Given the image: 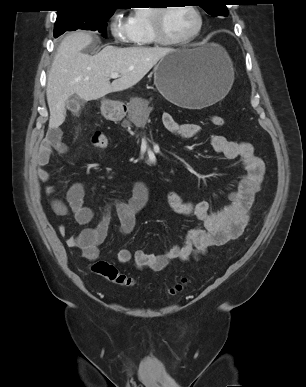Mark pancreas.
<instances>
[{"label":"pancreas","instance_id":"obj_1","mask_svg":"<svg viewBox=\"0 0 306 387\" xmlns=\"http://www.w3.org/2000/svg\"><path fill=\"white\" fill-rule=\"evenodd\" d=\"M131 105H138L139 108L132 111L129 115L130 121H133L138 126H144L149 114V101L141 98H134L131 100ZM124 124L129 125V121H124Z\"/></svg>","mask_w":306,"mask_h":387}]
</instances>
